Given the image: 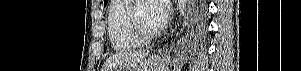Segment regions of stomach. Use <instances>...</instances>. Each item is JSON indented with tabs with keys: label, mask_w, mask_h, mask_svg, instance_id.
<instances>
[{
	"label": "stomach",
	"mask_w": 301,
	"mask_h": 71,
	"mask_svg": "<svg viewBox=\"0 0 301 71\" xmlns=\"http://www.w3.org/2000/svg\"><path fill=\"white\" fill-rule=\"evenodd\" d=\"M115 71H168L167 57L152 55L139 64L127 66Z\"/></svg>",
	"instance_id": "1"
}]
</instances>
